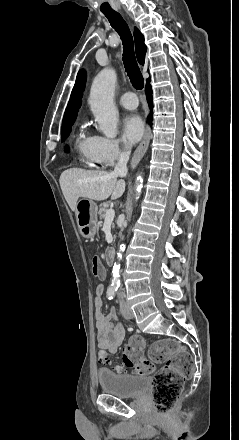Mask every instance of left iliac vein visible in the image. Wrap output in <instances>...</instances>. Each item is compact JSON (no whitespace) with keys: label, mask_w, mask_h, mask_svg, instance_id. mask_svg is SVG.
Listing matches in <instances>:
<instances>
[{"label":"left iliac vein","mask_w":239,"mask_h":440,"mask_svg":"<svg viewBox=\"0 0 239 440\" xmlns=\"http://www.w3.org/2000/svg\"><path fill=\"white\" fill-rule=\"evenodd\" d=\"M120 311H121V314L123 315V317L126 319H131L134 316L133 311L126 303L121 304Z\"/></svg>","instance_id":"left-iliac-vein-1"}]
</instances>
